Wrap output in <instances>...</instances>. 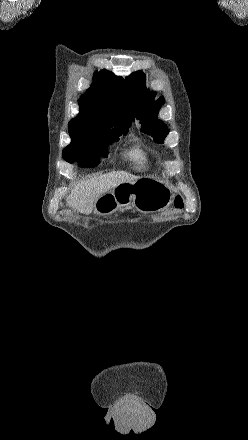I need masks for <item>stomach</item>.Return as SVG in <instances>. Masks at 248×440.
Instances as JSON below:
<instances>
[{
    "label": "stomach",
    "instance_id": "stomach-1",
    "mask_svg": "<svg viewBox=\"0 0 248 440\" xmlns=\"http://www.w3.org/2000/svg\"><path fill=\"white\" fill-rule=\"evenodd\" d=\"M172 198V192L166 184L142 177L134 183L119 184L101 195L95 202V212L101 216L127 206L142 212L159 211L170 205Z\"/></svg>",
    "mask_w": 248,
    "mask_h": 440
}]
</instances>
